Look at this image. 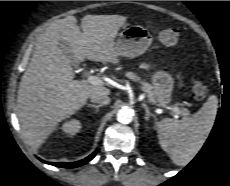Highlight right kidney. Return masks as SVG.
<instances>
[{"label":"right kidney","mask_w":230,"mask_h":186,"mask_svg":"<svg viewBox=\"0 0 230 186\" xmlns=\"http://www.w3.org/2000/svg\"><path fill=\"white\" fill-rule=\"evenodd\" d=\"M81 123L78 120H71L62 126L63 132L69 135L77 134L81 129Z\"/></svg>","instance_id":"1"}]
</instances>
